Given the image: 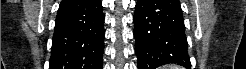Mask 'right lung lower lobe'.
Listing matches in <instances>:
<instances>
[{
  "instance_id": "obj_1",
  "label": "right lung lower lobe",
  "mask_w": 246,
  "mask_h": 69,
  "mask_svg": "<svg viewBox=\"0 0 246 69\" xmlns=\"http://www.w3.org/2000/svg\"><path fill=\"white\" fill-rule=\"evenodd\" d=\"M55 23L50 69H102L100 0H62Z\"/></svg>"
}]
</instances>
